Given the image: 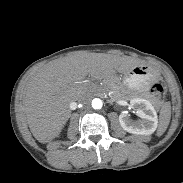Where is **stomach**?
<instances>
[{
  "mask_svg": "<svg viewBox=\"0 0 183 183\" xmlns=\"http://www.w3.org/2000/svg\"><path fill=\"white\" fill-rule=\"evenodd\" d=\"M155 78L156 73L154 70L140 64L126 73L123 85L132 90L146 91Z\"/></svg>",
  "mask_w": 183,
  "mask_h": 183,
  "instance_id": "stomach-1",
  "label": "stomach"
}]
</instances>
